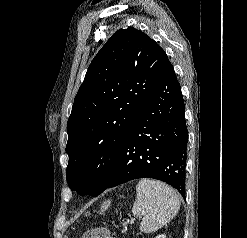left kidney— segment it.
<instances>
[{
	"label": "left kidney",
	"mask_w": 247,
	"mask_h": 238,
	"mask_svg": "<svg viewBox=\"0 0 247 238\" xmlns=\"http://www.w3.org/2000/svg\"><path fill=\"white\" fill-rule=\"evenodd\" d=\"M155 238H166V236H165V235H158V236L155 237Z\"/></svg>",
	"instance_id": "1"
}]
</instances>
